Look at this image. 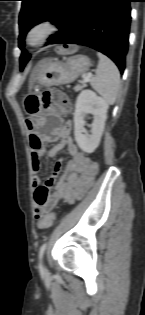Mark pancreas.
Masks as SVG:
<instances>
[{"label": "pancreas", "instance_id": "1", "mask_svg": "<svg viewBox=\"0 0 145 315\" xmlns=\"http://www.w3.org/2000/svg\"><path fill=\"white\" fill-rule=\"evenodd\" d=\"M84 87H86V85H76V86L74 87V91H75V92H78V91L82 90Z\"/></svg>", "mask_w": 145, "mask_h": 315}]
</instances>
